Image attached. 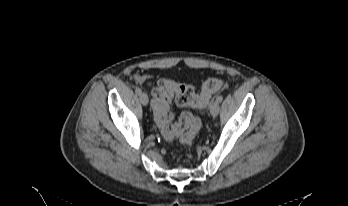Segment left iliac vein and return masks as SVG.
I'll return each instance as SVG.
<instances>
[{
	"mask_svg": "<svg viewBox=\"0 0 348 206\" xmlns=\"http://www.w3.org/2000/svg\"><path fill=\"white\" fill-rule=\"evenodd\" d=\"M219 102L217 100H214L210 105V113L213 117H216L219 113Z\"/></svg>",
	"mask_w": 348,
	"mask_h": 206,
	"instance_id": "1",
	"label": "left iliac vein"
}]
</instances>
